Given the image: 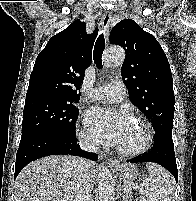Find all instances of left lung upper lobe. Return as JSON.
<instances>
[{
  "label": "left lung upper lobe",
  "instance_id": "1",
  "mask_svg": "<svg viewBox=\"0 0 196 201\" xmlns=\"http://www.w3.org/2000/svg\"><path fill=\"white\" fill-rule=\"evenodd\" d=\"M110 40L125 49L121 75L130 101L151 121L156 133L172 130L173 79L158 41L131 19L117 23L111 30Z\"/></svg>",
  "mask_w": 196,
  "mask_h": 201
}]
</instances>
